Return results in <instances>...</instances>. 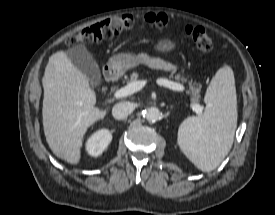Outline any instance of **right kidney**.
Returning a JSON list of instances; mask_svg holds the SVG:
<instances>
[{
    "label": "right kidney",
    "instance_id": "ca27d5eb",
    "mask_svg": "<svg viewBox=\"0 0 275 215\" xmlns=\"http://www.w3.org/2000/svg\"><path fill=\"white\" fill-rule=\"evenodd\" d=\"M112 140V134L107 129L95 132L86 142V150L89 155L97 157L103 153Z\"/></svg>",
    "mask_w": 275,
    "mask_h": 215
}]
</instances>
